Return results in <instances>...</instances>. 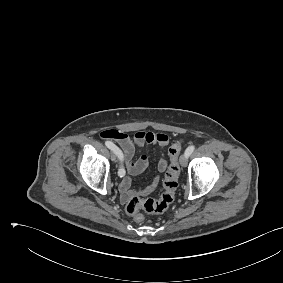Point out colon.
I'll return each mask as SVG.
<instances>
[{
  "label": "colon",
  "mask_w": 283,
  "mask_h": 283,
  "mask_svg": "<svg viewBox=\"0 0 283 283\" xmlns=\"http://www.w3.org/2000/svg\"><path fill=\"white\" fill-rule=\"evenodd\" d=\"M181 149L182 142L177 141L172 144L168 150L170 165L163 179L164 191L158 199H142L138 196H134L126 203L127 214L132 216L136 221L143 220L141 210H144L147 213H162L173 202L175 191L178 186V176L180 173L178 157Z\"/></svg>",
  "instance_id": "obj_1"
}]
</instances>
